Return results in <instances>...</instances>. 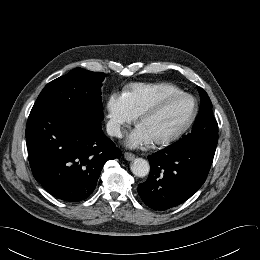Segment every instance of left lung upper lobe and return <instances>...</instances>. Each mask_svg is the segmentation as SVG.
<instances>
[{"label":"left lung upper lobe","instance_id":"5c2ea615","mask_svg":"<svg viewBox=\"0 0 260 260\" xmlns=\"http://www.w3.org/2000/svg\"><path fill=\"white\" fill-rule=\"evenodd\" d=\"M201 113L194 130L177 141L180 145H200L216 148L218 142V124L212 113V103L207 93L200 87Z\"/></svg>","mask_w":260,"mask_h":260}]
</instances>
